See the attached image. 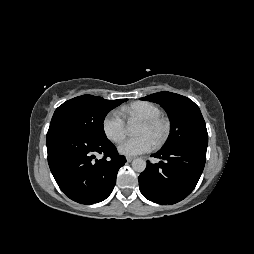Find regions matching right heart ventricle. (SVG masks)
<instances>
[{
  "label": "right heart ventricle",
  "mask_w": 254,
  "mask_h": 254,
  "mask_svg": "<svg viewBox=\"0 0 254 254\" xmlns=\"http://www.w3.org/2000/svg\"><path fill=\"white\" fill-rule=\"evenodd\" d=\"M121 113L130 118L137 117L141 120L161 115V110L155 104L148 101H136L121 109Z\"/></svg>",
  "instance_id": "right-heart-ventricle-1"
}]
</instances>
